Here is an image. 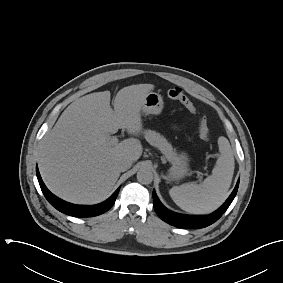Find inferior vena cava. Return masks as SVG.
<instances>
[{"instance_id": "obj_1", "label": "inferior vena cava", "mask_w": 283, "mask_h": 283, "mask_svg": "<svg viewBox=\"0 0 283 283\" xmlns=\"http://www.w3.org/2000/svg\"><path fill=\"white\" fill-rule=\"evenodd\" d=\"M132 165V161L129 159H121L117 162V168L120 172L128 170Z\"/></svg>"}]
</instances>
